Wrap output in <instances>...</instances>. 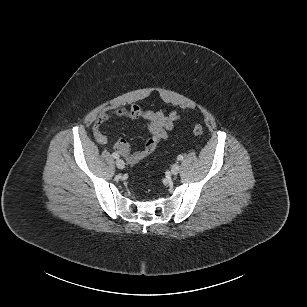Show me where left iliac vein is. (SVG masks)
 I'll return each mask as SVG.
<instances>
[{
    "label": "left iliac vein",
    "mask_w": 307,
    "mask_h": 307,
    "mask_svg": "<svg viewBox=\"0 0 307 307\" xmlns=\"http://www.w3.org/2000/svg\"><path fill=\"white\" fill-rule=\"evenodd\" d=\"M179 171H180V165H179V163H174V164L172 165V167H171V173H172L173 175H177V174L179 173Z\"/></svg>",
    "instance_id": "obj_1"
}]
</instances>
